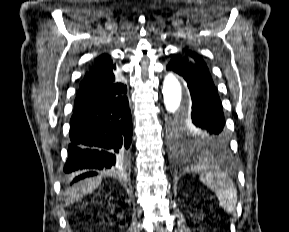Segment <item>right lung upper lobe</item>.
Returning <instances> with one entry per match:
<instances>
[{"mask_svg": "<svg viewBox=\"0 0 289 232\" xmlns=\"http://www.w3.org/2000/svg\"><path fill=\"white\" fill-rule=\"evenodd\" d=\"M115 70L116 66L110 56L107 54L99 56L80 84L75 106L111 99L126 91V85L122 83Z\"/></svg>", "mask_w": 289, "mask_h": 232, "instance_id": "cb5924a9", "label": "right lung upper lobe"}]
</instances>
